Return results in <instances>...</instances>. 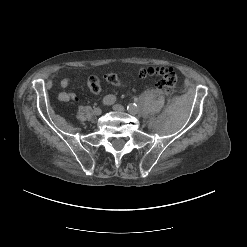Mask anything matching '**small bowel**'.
<instances>
[{"instance_id":"1","label":"small bowel","mask_w":247,"mask_h":247,"mask_svg":"<svg viewBox=\"0 0 247 247\" xmlns=\"http://www.w3.org/2000/svg\"><path fill=\"white\" fill-rule=\"evenodd\" d=\"M69 85H70V79L68 77L63 78L60 81V86L63 89V91L58 95V99L60 101L66 102V101H70V100L76 99L75 94L67 91Z\"/></svg>"}]
</instances>
